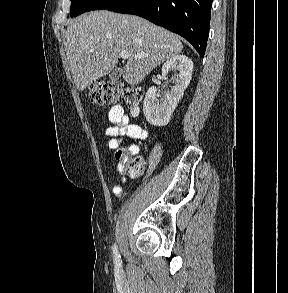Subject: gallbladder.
<instances>
[{"instance_id":"obj_1","label":"gallbladder","mask_w":288,"mask_h":293,"mask_svg":"<svg viewBox=\"0 0 288 293\" xmlns=\"http://www.w3.org/2000/svg\"><path fill=\"white\" fill-rule=\"evenodd\" d=\"M122 69L120 67H116L113 69V71L110 73L109 77L112 81H117L121 76Z\"/></svg>"}]
</instances>
